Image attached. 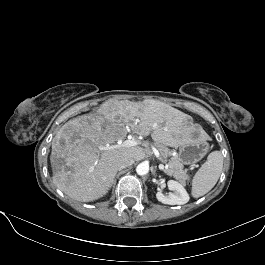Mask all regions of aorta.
Returning <instances> with one entry per match:
<instances>
[{
  "instance_id": "obj_1",
  "label": "aorta",
  "mask_w": 265,
  "mask_h": 265,
  "mask_svg": "<svg viewBox=\"0 0 265 265\" xmlns=\"http://www.w3.org/2000/svg\"><path fill=\"white\" fill-rule=\"evenodd\" d=\"M136 172L140 176L146 175L149 172V165L147 163H140L136 167Z\"/></svg>"
}]
</instances>
